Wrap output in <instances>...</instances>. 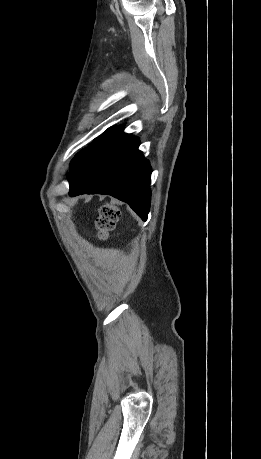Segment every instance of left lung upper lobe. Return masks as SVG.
I'll return each instance as SVG.
<instances>
[{"label": "left lung upper lobe", "mask_w": 261, "mask_h": 459, "mask_svg": "<svg viewBox=\"0 0 261 459\" xmlns=\"http://www.w3.org/2000/svg\"><path fill=\"white\" fill-rule=\"evenodd\" d=\"M121 127H111L103 134L93 140V142L85 149L80 151L71 161L70 177L100 146L110 139Z\"/></svg>", "instance_id": "left-lung-upper-lobe-1"}]
</instances>
